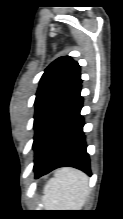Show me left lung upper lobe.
Here are the masks:
<instances>
[{
    "label": "left lung upper lobe",
    "mask_w": 123,
    "mask_h": 219,
    "mask_svg": "<svg viewBox=\"0 0 123 219\" xmlns=\"http://www.w3.org/2000/svg\"><path fill=\"white\" fill-rule=\"evenodd\" d=\"M81 82L80 66L70 56L60 57L46 68L34 104L33 147L47 120Z\"/></svg>",
    "instance_id": "5c2ea615"
}]
</instances>
